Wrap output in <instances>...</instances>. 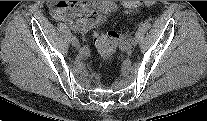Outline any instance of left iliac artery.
Masks as SVG:
<instances>
[{"label":"left iliac artery","instance_id":"1","mask_svg":"<svg viewBox=\"0 0 207 121\" xmlns=\"http://www.w3.org/2000/svg\"><path fill=\"white\" fill-rule=\"evenodd\" d=\"M119 42L124 44L126 42H132L133 45H136L137 44V40L134 38L133 35L127 33L125 35H122L119 37Z\"/></svg>","mask_w":207,"mask_h":121}]
</instances>
